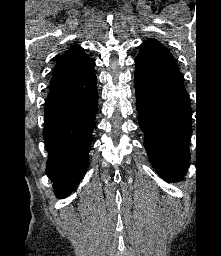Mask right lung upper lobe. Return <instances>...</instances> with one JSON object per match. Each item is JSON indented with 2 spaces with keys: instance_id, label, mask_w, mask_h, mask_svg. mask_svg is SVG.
Here are the masks:
<instances>
[{
  "instance_id": "obj_1",
  "label": "right lung upper lobe",
  "mask_w": 221,
  "mask_h": 256,
  "mask_svg": "<svg viewBox=\"0 0 221 256\" xmlns=\"http://www.w3.org/2000/svg\"><path fill=\"white\" fill-rule=\"evenodd\" d=\"M94 61L83 49L73 46L61 56L53 73L46 106L75 99L96 88Z\"/></svg>"
}]
</instances>
